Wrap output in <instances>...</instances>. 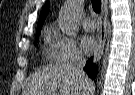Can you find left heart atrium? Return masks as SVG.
Segmentation results:
<instances>
[{
	"instance_id": "left-heart-atrium-1",
	"label": "left heart atrium",
	"mask_w": 135,
	"mask_h": 95,
	"mask_svg": "<svg viewBox=\"0 0 135 95\" xmlns=\"http://www.w3.org/2000/svg\"><path fill=\"white\" fill-rule=\"evenodd\" d=\"M83 51L87 54H93L97 51L98 44L97 41L92 36H84L81 41Z\"/></svg>"
}]
</instances>
